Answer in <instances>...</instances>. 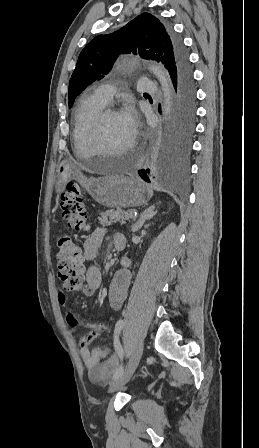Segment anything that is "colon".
I'll return each mask as SVG.
<instances>
[{
  "instance_id": "obj_1",
  "label": "colon",
  "mask_w": 259,
  "mask_h": 448,
  "mask_svg": "<svg viewBox=\"0 0 259 448\" xmlns=\"http://www.w3.org/2000/svg\"><path fill=\"white\" fill-rule=\"evenodd\" d=\"M61 210L68 226L76 230L88 228V216L80 184L69 183L67 185L65 192L61 195ZM57 246L58 275L65 289L91 293L86 285L84 258L80 247L67 236L60 237ZM97 337L96 333L89 332L86 335V341L90 343Z\"/></svg>"
}]
</instances>
